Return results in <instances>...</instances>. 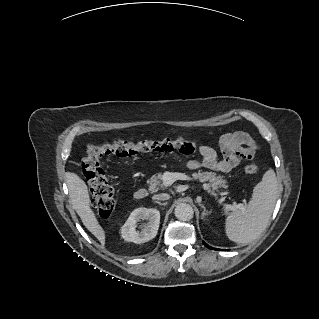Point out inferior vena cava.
I'll return each instance as SVG.
<instances>
[{
  "mask_svg": "<svg viewBox=\"0 0 319 319\" xmlns=\"http://www.w3.org/2000/svg\"><path fill=\"white\" fill-rule=\"evenodd\" d=\"M169 198H170V195L167 193L157 194L152 197V199L156 200L157 202L165 201V200H168Z\"/></svg>",
  "mask_w": 319,
  "mask_h": 319,
  "instance_id": "602c4592",
  "label": "inferior vena cava"
}]
</instances>
